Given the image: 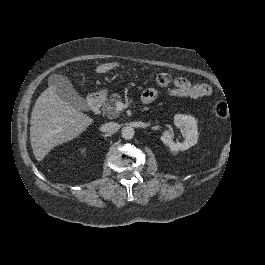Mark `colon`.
I'll list each match as a JSON object with an SVG mask.
<instances>
[{
	"instance_id": "colon-1",
	"label": "colon",
	"mask_w": 265,
	"mask_h": 265,
	"mask_svg": "<svg viewBox=\"0 0 265 265\" xmlns=\"http://www.w3.org/2000/svg\"><path fill=\"white\" fill-rule=\"evenodd\" d=\"M156 80L160 86L165 87L170 85L172 78L168 73H160L157 75ZM212 110L217 117H226L229 113V107L224 102H217Z\"/></svg>"
}]
</instances>
